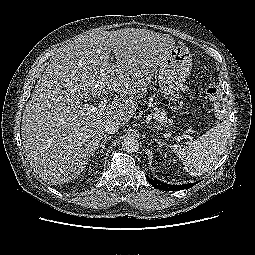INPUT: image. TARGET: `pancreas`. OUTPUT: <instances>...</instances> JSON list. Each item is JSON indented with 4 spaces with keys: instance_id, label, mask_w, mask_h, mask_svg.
Listing matches in <instances>:
<instances>
[{
    "instance_id": "1",
    "label": "pancreas",
    "mask_w": 255,
    "mask_h": 255,
    "mask_svg": "<svg viewBox=\"0 0 255 255\" xmlns=\"http://www.w3.org/2000/svg\"><path fill=\"white\" fill-rule=\"evenodd\" d=\"M153 117L156 121H158L159 123H161L164 126L171 125L173 123V120L169 119L166 116V113L162 108L155 107Z\"/></svg>"
}]
</instances>
